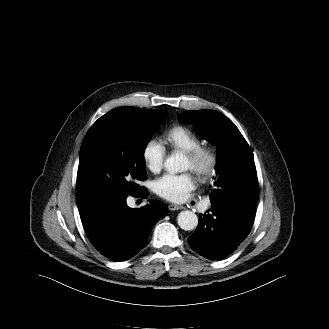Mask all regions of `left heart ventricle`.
Segmentation results:
<instances>
[{"label":"left heart ventricle","mask_w":329,"mask_h":329,"mask_svg":"<svg viewBox=\"0 0 329 329\" xmlns=\"http://www.w3.org/2000/svg\"><path fill=\"white\" fill-rule=\"evenodd\" d=\"M184 169L185 170L192 169V163H191V161L187 157H185Z\"/></svg>","instance_id":"b2bd125f"}]
</instances>
